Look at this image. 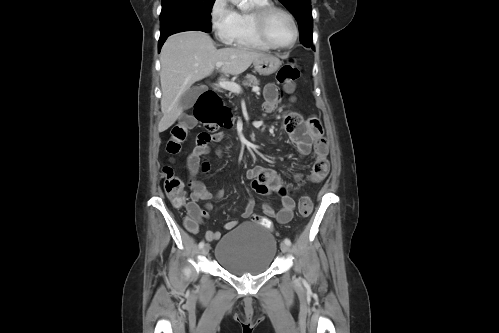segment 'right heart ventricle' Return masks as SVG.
<instances>
[{"label": "right heart ventricle", "instance_id": "obj_1", "mask_svg": "<svg viewBox=\"0 0 499 333\" xmlns=\"http://www.w3.org/2000/svg\"><path fill=\"white\" fill-rule=\"evenodd\" d=\"M254 4V10L260 7H264L270 4L269 0H252ZM253 10V11H254ZM253 11H236V29L234 32L232 45L251 50H261L267 51L272 49L268 46L258 35L253 18Z\"/></svg>", "mask_w": 499, "mask_h": 333}]
</instances>
